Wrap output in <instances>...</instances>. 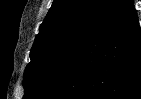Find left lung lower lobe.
Returning <instances> with one entry per match:
<instances>
[{"label": "left lung lower lobe", "mask_w": 141, "mask_h": 99, "mask_svg": "<svg viewBox=\"0 0 141 99\" xmlns=\"http://www.w3.org/2000/svg\"><path fill=\"white\" fill-rule=\"evenodd\" d=\"M38 99H141V33L122 0Z\"/></svg>", "instance_id": "obj_1"}]
</instances>
